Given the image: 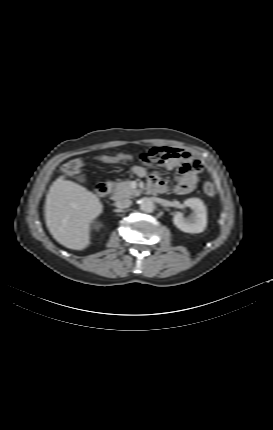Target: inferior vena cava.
<instances>
[{
  "label": "inferior vena cava",
  "mask_w": 273,
  "mask_h": 430,
  "mask_svg": "<svg viewBox=\"0 0 273 430\" xmlns=\"http://www.w3.org/2000/svg\"><path fill=\"white\" fill-rule=\"evenodd\" d=\"M132 204L129 199H119L115 202V206L118 208H128Z\"/></svg>",
  "instance_id": "602c4592"
}]
</instances>
